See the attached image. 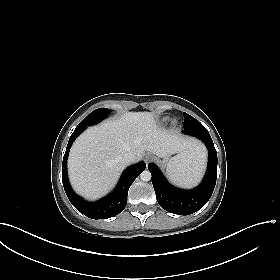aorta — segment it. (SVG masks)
<instances>
[{
  "mask_svg": "<svg viewBox=\"0 0 280 280\" xmlns=\"http://www.w3.org/2000/svg\"><path fill=\"white\" fill-rule=\"evenodd\" d=\"M140 179L142 181L148 182L151 180V173L148 170H144L141 174H140Z\"/></svg>",
  "mask_w": 280,
  "mask_h": 280,
  "instance_id": "1",
  "label": "aorta"
}]
</instances>
